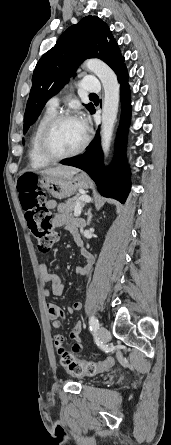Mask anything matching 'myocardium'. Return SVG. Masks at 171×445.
Returning a JSON list of instances; mask_svg holds the SVG:
<instances>
[{"label":"myocardium","instance_id":"obj_1","mask_svg":"<svg viewBox=\"0 0 171 445\" xmlns=\"http://www.w3.org/2000/svg\"><path fill=\"white\" fill-rule=\"evenodd\" d=\"M66 120L80 121V119L74 114H70V113L56 114L50 120H48V122L44 125V127L41 131L39 141H38V150H39V153L42 156V158H44L46 161L57 162V161H61V160L67 159V158L77 156V155L81 154L87 148V146L90 142V134L86 129L85 130V138L78 148H76L75 150H73L71 152L64 153V154L52 153L48 147L49 135L57 124H59L60 122L66 121Z\"/></svg>","mask_w":171,"mask_h":445}]
</instances>
